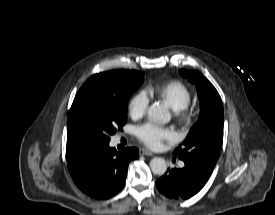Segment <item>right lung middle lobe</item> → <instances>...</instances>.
I'll list each match as a JSON object with an SVG mask.
<instances>
[{
    "instance_id": "obj_1",
    "label": "right lung middle lobe",
    "mask_w": 275,
    "mask_h": 215,
    "mask_svg": "<svg viewBox=\"0 0 275 215\" xmlns=\"http://www.w3.org/2000/svg\"><path fill=\"white\" fill-rule=\"evenodd\" d=\"M144 73L117 70L91 76L79 90L70 108L67 145L109 142L127 121L131 94L143 82Z\"/></svg>"
}]
</instances>
